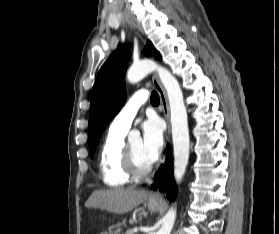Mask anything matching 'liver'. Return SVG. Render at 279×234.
<instances>
[{
	"mask_svg": "<svg viewBox=\"0 0 279 234\" xmlns=\"http://www.w3.org/2000/svg\"><path fill=\"white\" fill-rule=\"evenodd\" d=\"M148 197L145 190L109 189L94 191L85 206L99 208L114 214H124L144 202Z\"/></svg>",
	"mask_w": 279,
	"mask_h": 234,
	"instance_id": "1",
	"label": "liver"
}]
</instances>
